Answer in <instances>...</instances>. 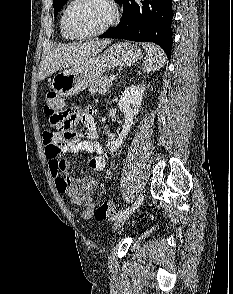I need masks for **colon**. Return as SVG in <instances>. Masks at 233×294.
Instances as JSON below:
<instances>
[{
  "mask_svg": "<svg viewBox=\"0 0 233 294\" xmlns=\"http://www.w3.org/2000/svg\"><path fill=\"white\" fill-rule=\"evenodd\" d=\"M64 108L54 92H48L44 98L43 113L46 117H51L53 110H61ZM115 206L112 200L102 202L94 212V218L97 221H102L108 218L114 212Z\"/></svg>",
  "mask_w": 233,
  "mask_h": 294,
  "instance_id": "colon-1",
  "label": "colon"
}]
</instances>
